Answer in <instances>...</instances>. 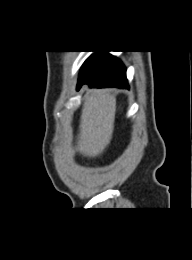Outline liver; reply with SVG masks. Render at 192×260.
<instances>
[{"label":"liver","mask_w":192,"mask_h":260,"mask_svg":"<svg viewBox=\"0 0 192 260\" xmlns=\"http://www.w3.org/2000/svg\"><path fill=\"white\" fill-rule=\"evenodd\" d=\"M116 100L107 90L93 89L84 97L76 150L86 157L103 153L112 139Z\"/></svg>","instance_id":"obj_1"}]
</instances>
